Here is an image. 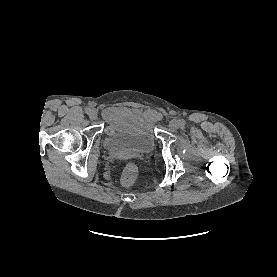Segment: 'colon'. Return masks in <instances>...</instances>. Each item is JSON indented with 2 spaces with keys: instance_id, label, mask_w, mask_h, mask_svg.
<instances>
[{
  "instance_id": "1",
  "label": "colon",
  "mask_w": 277,
  "mask_h": 277,
  "mask_svg": "<svg viewBox=\"0 0 277 277\" xmlns=\"http://www.w3.org/2000/svg\"><path fill=\"white\" fill-rule=\"evenodd\" d=\"M137 172L138 171H137L136 165L133 163H128L122 171V174L120 177V183L123 186L132 185L136 181Z\"/></svg>"
}]
</instances>
